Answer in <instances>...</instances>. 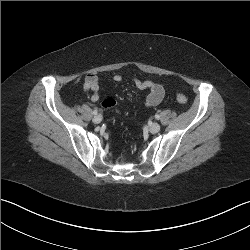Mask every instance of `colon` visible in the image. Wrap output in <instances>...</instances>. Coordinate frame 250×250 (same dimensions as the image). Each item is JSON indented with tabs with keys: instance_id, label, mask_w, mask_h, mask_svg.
Masks as SVG:
<instances>
[{
	"instance_id": "1",
	"label": "colon",
	"mask_w": 250,
	"mask_h": 250,
	"mask_svg": "<svg viewBox=\"0 0 250 250\" xmlns=\"http://www.w3.org/2000/svg\"><path fill=\"white\" fill-rule=\"evenodd\" d=\"M177 100L180 102V103H186L188 98L185 94L183 93H178L177 94ZM103 107L105 108H109V107H113L115 105V101L111 98H108L106 100L103 101L102 103Z\"/></svg>"
}]
</instances>
